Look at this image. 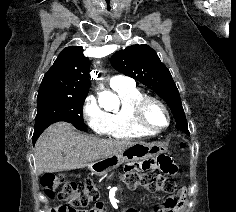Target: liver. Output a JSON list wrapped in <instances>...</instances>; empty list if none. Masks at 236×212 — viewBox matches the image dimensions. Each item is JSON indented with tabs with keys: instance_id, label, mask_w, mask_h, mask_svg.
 Returning <instances> with one entry per match:
<instances>
[{
	"instance_id": "6515ba94",
	"label": "liver",
	"mask_w": 236,
	"mask_h": 212,
	"mask_svg": "<svg viewBox=\"0 0 236 212\" xmlns=\"http://www.w3.org/2000/svg\"><path fill=\"white\" fill-rule=\"evenodd\" d=\"M136 143L81 134L71 124L58 122L48 127L36 142L35 169L43 173L90 167Z\"/></svg>"
}]
</instances>
